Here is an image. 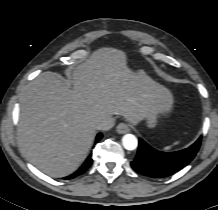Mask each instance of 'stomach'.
Here are the masks:
<instances>
[{
    "instance_id": "obj_1",
    "label": "stomach",
    "mask_w": 218,
    "mask_h": 210,
    "mask_svg": "<svg viewBox=\"0 0 218 210\" xmlns=\"http://www.w3.org/2000/svg\"><path fill=\"white\" fill-rule=\"evenodd\" d=\"M159 114H160L159 107L154 106L151 108V110L148 112L147 116L145 117V121L148 127L150 128L155 127L159 119Z\"/></svg>"
}]
</instances>
